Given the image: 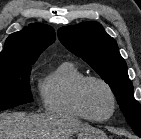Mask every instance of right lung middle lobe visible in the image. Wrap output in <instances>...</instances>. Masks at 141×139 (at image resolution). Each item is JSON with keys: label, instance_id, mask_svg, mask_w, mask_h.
<instances>
[{"label": "right lung middle lobe", "instance_id": "right-lung-middle-lobe-1", "mask_svg": "<svg viewBox=\"0 0 141 139\" xmlns=\"http://www.w3.org/2000/svg\"><path fill=\"white\" fill-rule=\"evenodd\" d=\"M30 65L0 67V111L33 101Z\"/></svg>", "mask_w": 141, "mask_h": 139}]
</instances>
